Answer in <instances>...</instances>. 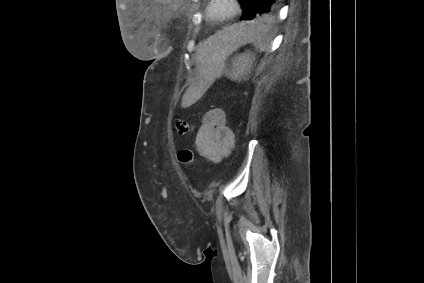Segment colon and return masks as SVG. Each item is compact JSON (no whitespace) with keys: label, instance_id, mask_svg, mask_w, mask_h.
Segmentation results:
<instances>
[{"label":"colon","instance_id":"1","mask_svg":"<svg viewBox=\"0 0 424 283\" xmlns=\"http://www.w3.org/2000/svg\"><path fill=\"white\" fill-rule=\"evenodd\" d=\"M175 129L178 134L185 135L192 131V125L185 119H177ZM178 159L185 165H191L194 160L193 152L189 149L180 150L178 152Z\"/></svg>","mask_w":424,"mask_h":283}]
</instances>
